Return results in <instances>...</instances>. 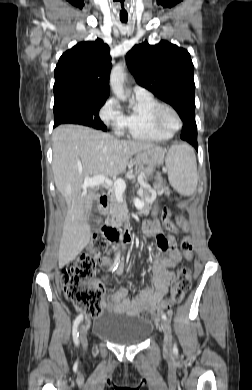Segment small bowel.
Segmentation results:
<instances>
[{
  "mask_svg": "<svg viewBox=\"0 0 252 390\" xmlns=\"http://www.w3.org/2000/svg\"><path fill=\"white\" fill-rule=\"evenodd\" d=\"M180 225L183 229L187 228L186 221L183 219ZM145 232L149 235L156 236L157 245L165 254L157 253L152 257L153 269V284L155 289L143 287L140 293L134 297H128V291L125 288H119L113 291L108 299L103 302L104 309L114 311L120 314H128L132 316L141 315L142 310L153 309L155 307L160 310L168 309V299L165 298L169 292V286L175 281L177 272L175 267L181 260V254L176 248L175 238L171 235H164L156 221L147 222L145 224ZM192 255L187 259H191ZM98 264L104 267L114 269L116 265L111 264L108 257H101L97 260ZM117 275L122 274L123 267L117 266L115 269ZM100 285H106L109 289L113 288L111 280L103 277Z\"/></svg>",
  "mask_w": 252,
  "mask_h": 390,
  "instance_id": "small-bowel-1",
  "label": "small bowel"
}]
</instances>
